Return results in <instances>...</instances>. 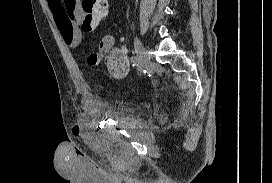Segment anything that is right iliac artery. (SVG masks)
I'll list each match as a JSON object with an SVG mask.
<instances>
[{
    "label": "right iliac artery",
    "instance_id": "right-iliac-artery-1",
    "mask_svg": "<svg viewBox=\"0 0 272 183\" xmlns=\"http://www.w3.org/2000/svg\"><path fill=\"white\" fill-rule=\"evenodd\" d=\"M130 60L133 66L138 65V58L136 56H132Z\"/></svg>",
    "mask_w": 272,
    "mask_h": 183
}]
</instances>
